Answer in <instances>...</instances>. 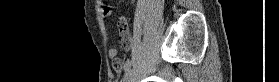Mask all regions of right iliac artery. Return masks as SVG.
Segmentation results:
<instances>
[{"label": "right iliac artery", "mask_w": 279, "mask_h": 82, "mask_svg": "<svg viewBox=\"0 0 279 82\" xmlns=\"http://www.w3.org/2000/svg\"><path fill=\"white\" fill-rule=\"evenodd\" d=\"M131 61H127L125 64H124V72H125V76L126 74L129 72V69L131 67Z\"/></svg>", "instance_id": "82829eb1"}]
</instances>
